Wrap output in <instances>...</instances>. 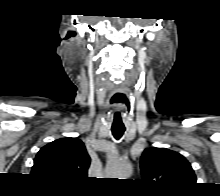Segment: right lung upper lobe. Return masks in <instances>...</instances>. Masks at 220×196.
Returning <instances> with one entry per match:
<instances>
[{
	"mask_svg": "<svg viewBox=\"0 0 220 196\" xmlns=\"http://www.w3.org/2000/svg\"><path fill=\"white\" fill-rule=\"evenodd\" d=\"M90 157L78 138H61L42 147L34 160L31 174L61 185H80L86 179Z\"/></svg>",
	"mask_w": 220,
	"mask_h": 196,
	"instance_id": "right-lung-upper-lobe-1",
	"label": "right lung upper lobe"
}]
</instances>
